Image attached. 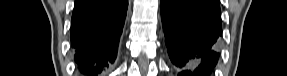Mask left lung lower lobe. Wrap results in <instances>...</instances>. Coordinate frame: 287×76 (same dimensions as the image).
I'll return each mask as SVG.
<instances>
[{
    "instance_id": "1",
    "label": "left lung lower lobe",
    "mask_w": 287,
    "mask_h": 76,
    "mask_svg": "<svg viewBox=\"0 0 287 76\" xmlns=\"http://www.w3.org/2000/svg\"><path fill=\"white\" fill-rule=\"evenodd\" d=\"M165 43L181 76H209L222 36L219 0H161Z\"/></svg>"
}]
</instances>
